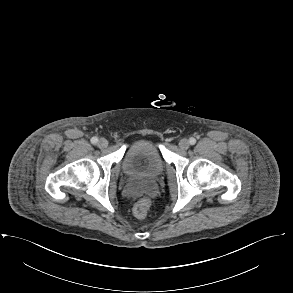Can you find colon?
<instances>
[{
  "mask_svg": "<svg viewBox=\"0 0 293 293\" xmlns=\"http://www.w3.org/2000/svg\"><path fill=\"white\" fill-rule=\"evenodd\" d=\"M151 201L148 197H143L134 205L133 213L137 218L143 219L147 216Z\"/></svg>",
  "mask_w": 293,
  "mask_h": 293,
  "instance_id": "5ec220e1",
  "label": "colon"
}]
</instances>
